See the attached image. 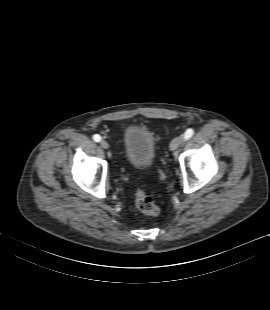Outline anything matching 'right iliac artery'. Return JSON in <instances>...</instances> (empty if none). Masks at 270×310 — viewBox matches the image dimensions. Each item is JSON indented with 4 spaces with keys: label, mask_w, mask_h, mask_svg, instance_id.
I'll use <instances>...</instances> for the list:
<instances>
[{
    "label": "right iliac artery",
    "mask_w": 270,
    "mask_h": 310,
    "mask_svg": "<svg viewBox=\"0 0 270 310\" xmlns=\"http://www.w3.org/2000/svg\"><path fill=\"white\" fill-rule=\"evenodd\" d=\"M93 140H94L95 142H100V141H101L100 135L95 134V135L93 136Z\"/></svg>",
    "instance_id": "obj_1"
}]
</instances>
